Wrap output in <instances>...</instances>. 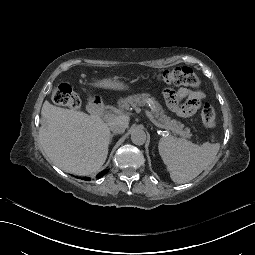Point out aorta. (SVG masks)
I'll list each match as a JSON object with an SVG mask.
<instances>
[{"label": "aorta", "instance_id": "obj_1", "mask_svg": "<svg viewBox=\"0 0 255 255\" xmlns=\"http://www.w3.org/2000/svg\"><path fill=\"white\" fill-rule=\"evenodd\" d=\"M146 139V133L142 129H134L131 133V140L135 145H143L146 142Z\"/></svg>", "mask_w": 255, "mask_h": 255}]
</instances>
